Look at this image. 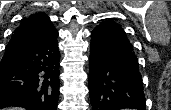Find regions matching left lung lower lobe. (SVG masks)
Masks as SVG:
<instances>
[{
  "label": "left lung lower lobe",
  "mask_w": 171,
  "mask_h": 110,
  "mask_svg": "<svg viewBox=\"0 0 171 110\" xmlns=\"http://www.w3.org/2000/svg\"><path fill=\"white\" fill-rule=\"evenodd\" d=\"M89 94L92 110H146L138 60L121 26L101 22L91 34Z\"/></svg>",
  "instance_id": "obj_1"
}]
</instances>
